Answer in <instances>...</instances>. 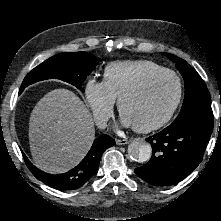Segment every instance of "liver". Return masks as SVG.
Instances as JSON below:
<instances>
[{
  "label": "liver",
  "mask_w": 221,
  "mask_h": 221,
  "mask_svg": "<svg viewBox=\"0 0 221 221\" xmlns=\"http://www.w3.org/2000/svg\"><path fill=\"white\" fill-rule=\"evenodd\" d=\"M95 139L92 115L67 89L47 93L34 107L29 120L30 150L35 165L59 174L75 167Z\"/></svg>",
  "instance_id": "liver-1"
}]
</instances>
